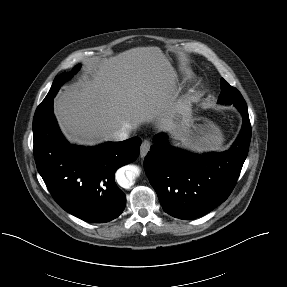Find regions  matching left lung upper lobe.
<instances>
[{
    "mask_svg": "<svg viewBox=\"0 0 287 287\" xmlns=\"http://www.w3.org/2000/svg\"><path fill=\"white\" fill-rule=\"evenodd\" d=\"M218 102L233 104L235 106L246 104L240 92L236 88L229 85L223 78L221 79V94Z\"/></svg>",
    "mask_w": 287,
    "mask_h": 287,
    "instance_id": "1",
    "label": "left lung upper lobe"
}]
</instances>
